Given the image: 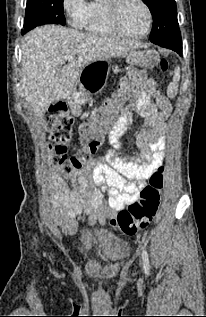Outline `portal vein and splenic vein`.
Wrapping results in <instances>:
<instances>
[{"label": "portal vein and splenic vein", "instance_id": "1", "mask_svg": "<svg viewBox=\"0 0 206 317\" xmlns=\"http://www.w3.org/2000/svg\"><path fill=\"white\" fill-rule=\"evenodd\" d=\"M74 59V57L72 55H67L64 57L65 61H72Z\"/></svg>", "mask_w": 206, "mask_h": 317}]
</instances>
